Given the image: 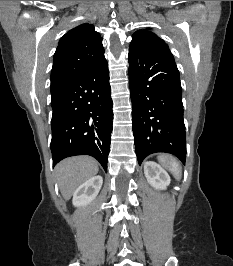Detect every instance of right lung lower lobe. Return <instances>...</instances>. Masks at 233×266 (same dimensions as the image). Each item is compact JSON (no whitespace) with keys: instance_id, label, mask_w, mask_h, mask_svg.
Returning a JSON list of instances; mask_svg holds the SVG:
<instances>
[{"instance_id":"98d812e1","label":"right lung lower lobe","mask_w":233,"mask_h":266,"mask_svg":"<svg viewBox=\"0 0 233 266\" xmlns=\"http://www.w3.org/2000/svg\"><path fill=\"white\" fill-rule=\"evenodd\" d=\"M51 106L53 166L69 156L90 155L107 172L113 111L106 59L52 89Z\"/></svg>"}]
</instances>
